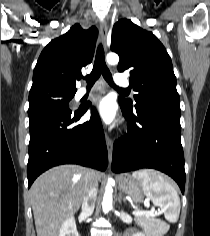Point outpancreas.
<instances>
[{
  "instance_id": "cf45deb5",
  "label": "pancreas",
  "mask_w": 210,
  "mask_h": 236,
  "mask_svg": "<svg viewBox=\"0 0 210 236\" xmlns=\"http://www.w3.org/2000/svg\"><path fill=\"white\" fill-rule=\"evenodd\" d=\"M135 221L137 224L144 226L147 230L157 229L158 220L154 216L136 215Z\"/></svg>"
}]
</instances>
